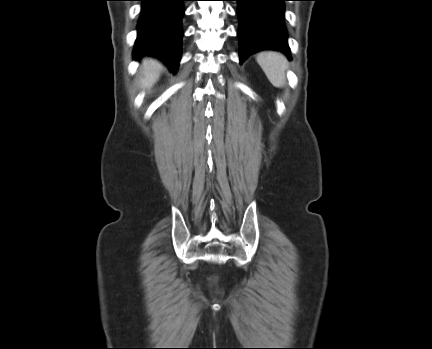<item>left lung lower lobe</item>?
<instances>
[{"instance_id":"1","label":"left lung lower lobe","mask_w":432,"mask_h":349,"mask_svg":"<svg viewBox=\"0 0 432 349\" xmlns=\"http://www.w3.org/2000/svg\"><path fill=\"white\" fill-rule=\"evenodd\" d=\"M238 2L240 62L264 49L280 50L291 59L283 23L286 0H235Z\"/></svg>"}]
</instances>
